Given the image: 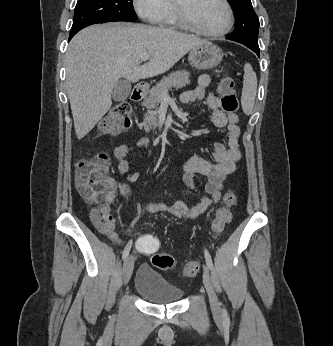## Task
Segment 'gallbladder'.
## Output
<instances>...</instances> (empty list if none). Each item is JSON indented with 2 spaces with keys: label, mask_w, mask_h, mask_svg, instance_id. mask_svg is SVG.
<instances>
[{
  "label": "gallbladder",
  "mask_w": 333,
  "mask_h": 346,
  "mask_svg": "<svg viewBox=\"0 0 333 346\" xmlns=\"http://www.w3.org/2000/svg\"><path fill=\"white\" fill-rule=\"evenodd\" d=\"M131 92V83L127 80L118 81L112 90V97L114 101H124Z\"/></svg>",
  "instance_id": "1"
}]
</instances>
